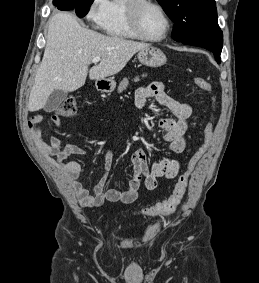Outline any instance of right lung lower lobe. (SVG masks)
<instances>
[{"instance_id":"98d812e1","label":"right lung lower lobe","mask_w":259,"mask_h":283,"mask_svg":"<svg viewBox=\"0 0 259 283\" xmlns=\"http://www.w3.org/2000/svg\"><path fill=\"white\" fill-rule=\"evenodd\" d=\"M53 4L59 9V10H70L74 9L76 5L75 0H53Z\"/></svg>"}]
</instances>
